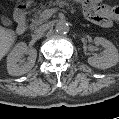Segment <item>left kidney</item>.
Masks as SVG:
<instances>
[{"instance_id":"left-kidney-1","label":"left kidney","mask_w":119,"mask_h":119,"mask_svg":"<svg viewBox=\"0 0 119 119\" xmlns=\"http://www.w3.org/2000/svg\"><path fill=\"white\" fill-rule=\"evenodd\" d=\"M94 43L95 45H101L104 47V51L99 56L96 55L89 57V65L98 69H107L115 66L119 59L116 47L109 40L103 37H95Z\"/></svg>"}]
</instances>
